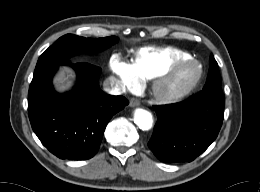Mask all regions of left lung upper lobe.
Listing matches in <instances>:
<instances>
[{"mask_svg":"<svg viewBox=\"0 0 260 192\" xmlns=\"http://www.w3.org/2000/svg\"><path fill=\"white\" fill-rule=\"evenodd\" d=\"M221 90V77L219 74L218 64L213 55L210 57L209 74L203 90Z\"/></svg>","mask_w":260,"mask_h":192,"instance_id":"5c2ea615","label":"left lung upper lobe"}]
</instances>
